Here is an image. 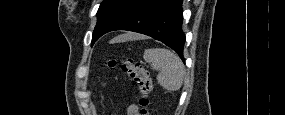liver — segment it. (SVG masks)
I'll return each mask as SVG.
<instances>
[{
    "label": "liver",
    "mask_w": 285,
    "mask_h": 115,
    "mask_svg": "<svg viewBox=\"0 0 285 115\" xmlns=\"http://www.w3.org/2000/svg\"><path fill=\"white\" fill-rule=\"evenodd\" d=\"M129 37H139L138 35H130V36H124V39H127Z\"/></svg>",
    "instance_id": "obj_1"
}]
</instances>
